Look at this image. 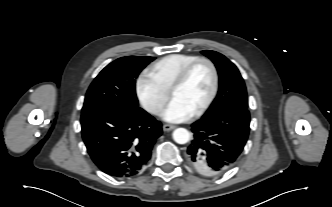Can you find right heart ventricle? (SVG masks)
<instances>
[{
	"instance_id": "right-heart-ventricle-1",
	"label": "right heart ventricle",
	"mask_w": 332,
	"mask_h": 207,
	"mask_svg": "<svg viewBox=\"0 0 332 207\" xmlns=\"http://www.w3.org/2000/svg\"><path fill=\"white\" fill-rule=\"evenodd\" d=\"M197 58L198 56L192 54L167 55L148 69V75L168 92L180 71Z\"/></svg>"
}]
</instances>
